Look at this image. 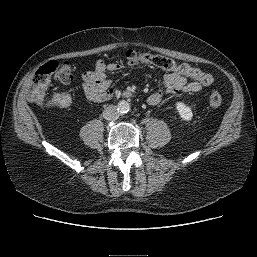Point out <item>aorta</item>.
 Here are the masks:
<instances>
[{
	"instance_id": "aorta-1",
	"label": "aorta",
	"mask_w": 257,
	"mask_h": 257,
	"mask_svg": "<svg viewBox=\"0 0 257 257\" xmlns=\"http://www.w3.org/2000/svg\"><path fill=\"white\" fill-rule=\"evenodd\" d=\"M117 109L121 114L127 113L130 109V104L125 100H121L117 104Z\"/></svg>"
}]
</instances>
